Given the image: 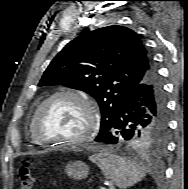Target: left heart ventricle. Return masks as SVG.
Returning a JSON list of instances; mask_svg holds the SVG:
<instances>
[{
	"label": "left heart ventricle",
	"instance_id": "obj_1",
	"mask_svg": "<svg viewBox=\"0 0 188 189\" xmlns=\"http://www.w3.org/2000/svg\"><path fill=\"white\" fill-rule=\"evenodd\" d=\"M87 121V111L80 101L61 97L51 102L42 115L39 135L46 140L74 138L84 130Z\"/></svg>",
	"mask_w": 188,
	"mask_h": 189
}]
</instances>
